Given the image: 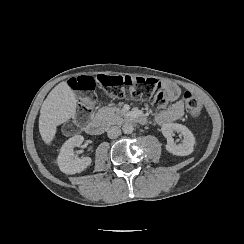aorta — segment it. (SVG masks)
<instances>
[{
  "label": "aorta",
  "instance_id": "762f6f07",
  "mask_svg": "<svg viewBox=\"0 0 244 244\" xmlns=\"http://www.w3.org/2000/svg\"><path fill=\"white\" fill-rule=\"evenodd\" d=\"M122 130L125 134H131L134 130V127L131 123H125L123 126H122Z\"/></svg>",
  "mask_w": 244,
  "mask_h": 244
}]
</instances>
